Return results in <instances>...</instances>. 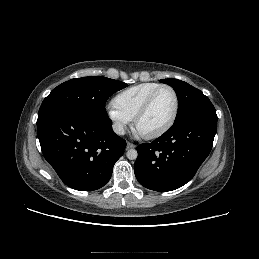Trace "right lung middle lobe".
Returning <instances> with one entry per match:
<instances>
[{
	"mask_svg": "<svg viewBox=\"0 0 259 259\" xmlns=\"http://www.w3.org/2000/svg\"><path fill=\"white\" fill-rule=\"evenodd\" d=\"M125 87L127 84L124 82L102 76L71 79L54 88L44 99L38 119L52 111L68 108L108 117L105 111L107 99Z\"/></svg>",
	"mask_w": 259,
	"mask_h": 259,
	"instance_id": "dd1d6c3e",
	"label": "right lung middle lobe"
}]
</instances>
